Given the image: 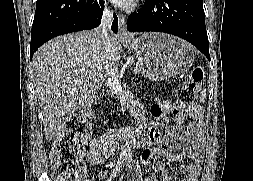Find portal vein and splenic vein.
<instances>
[{
    "label": "portal vein and splenic vein",
    "mask_w": 253,
    "mask_h": 181,
    "mask_svg": "<svg viewBox=\"0 0 253 181\" xmlns=\"http://www.w3.org/2000/svg\"><path fill=\"white\" fill-rule=\"evenodd\" d=\"M107 85L112 89V90H115V91H122V87H121V84L119 83L118 80H115V79H108L107 81Z\"/></svg>",
    "instance_id": "1"
}]
</instances>
